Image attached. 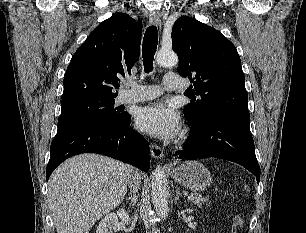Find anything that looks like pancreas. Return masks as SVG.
<instances>
[{
    "mask_svg": "<svg viewBox=\"0 0 306 233\" xmlns=\"http://www.w3.org/2000/svg\"><path fill=\"white\" fill-rule=\"evenodd\" d=\"M193 203L196 204L200 208L208 207L210 205V200L207 197L195 195L193 199Z\"/></svg>",
    "mask_w": 306,
    "mask_h": 233,
    "instance_id": "1",
    "label": "pancreas"
}]
</instances>
